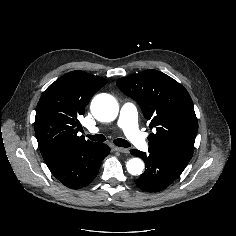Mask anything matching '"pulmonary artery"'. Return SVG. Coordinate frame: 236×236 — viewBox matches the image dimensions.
<instances>
[{"instance_id": "e3ab8cb5", "label": "pulmonary artery", "mask_w": 236, "mask_h": 236, "mask_svg": "<svg viewBox=\"0 0 236 236\" xmlns=\"http://www.w3.org/2000/svg\"><path fill=\"white\" fill-rule=\"evenodd\" d=\"M118 126L124 131L132 144L142 151L148 150L145 135L139 130L137 123V109L132 103H125L120 110ZM91 133L99 132L96 127L89 129Z\"/></svg>"}]
</instances>
